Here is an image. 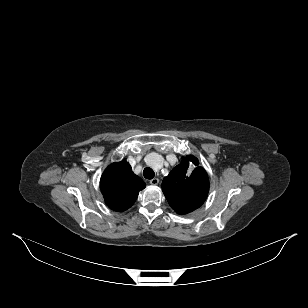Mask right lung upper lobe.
Returning a JSON list of instances; mask_svg holds the SVG:
<instances>
[{"instance_id": "1", "label": "right lung upper lobe", "mask_w": 308, "mask_h": 308, "mask_svg": "<svg viewBox=\"0 0 308 308\" xmlns=\"http://www.w3.org/2000/svg\"><path fill=\"white\" fill-rule=\"evenodd\" d=\"M144 181L132 172L126 160L111 164L104 171L100 188L109 208L117 212L128 209L136 201L139 191L145 188Z\"/></svg>"}]
</instances>
